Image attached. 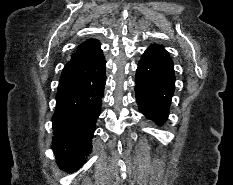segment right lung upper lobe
<instances>
[{"instance_id": "1", "label": "right lung upper lobe", "mask_w": 233, "mask_h": 185, "mask_svg": "<svg viewBox=\"0 0 233 185\" xmlns=\"http://www.w3.org/2000/svg\"><path fill=\"white\" fill-rule=\"evenodd\" d=\"M102 58L104 56L99 41L89 39L78 47L70 61H99Z\"/></svg>"}]
</instances>
